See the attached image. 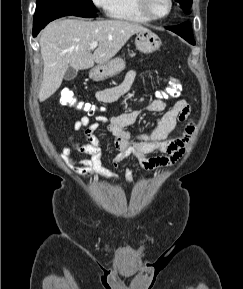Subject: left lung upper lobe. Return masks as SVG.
<instances>
[{"mask_svg":"<svg viewBox=\"0 0 243 289\" xmlns=\"http://www.w3.org/2000/svg\"><path fill=\"white\" fill-rule=\"evenodd\" d=\"M176 1L181 5V7L186 13H189V9L192 5V0H176Z\"/></svg>","mask_w":243,"mask_h":289,"instance_id":"1","label":"left lung upper lobe"}]
</instances>
